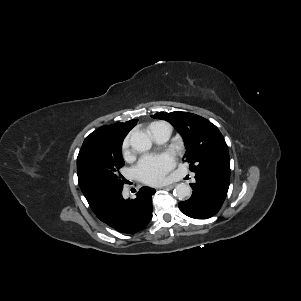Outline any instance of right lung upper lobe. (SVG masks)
<instances>
[{
  "label": "right lung upper lobe",
  "instance_id": "1",
  "mask_svg": "<svg viewBox=\"0 0 301 301\" xmlns=\"http://www.w3.org/2000/svg\"><path fill=\"white\" fill-rule=\"evenodd\" d=\"M137 119L127 121L125 123H115L113 125L102 126L92 132L84 142L93 138H101L110 142L122 143L127 133L136 125Z\"/></svg>",
  "mask_w": 301,
  "mask_h": 301
}]
</instances>
